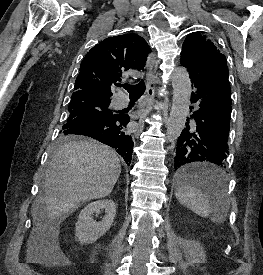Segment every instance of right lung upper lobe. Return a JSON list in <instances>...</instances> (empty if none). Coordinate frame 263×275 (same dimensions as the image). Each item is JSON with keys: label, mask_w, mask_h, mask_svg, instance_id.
Here are the masks:
<instances>
[{"label": "right lung upper lobe", "mask_w": 263, "mask_h": 275, "mask_svg": "<svg viewBox=\"0 0 263 275\" xmlns=\"http://www.w3.org/2000/svg\"><path fill=\"white\" fill-rule=\"evenodd\" d=\"M149 52V45L137 34L104 39L83 58L72 96L94 94L110 98L111 86L121 81L122 72L143 69Z\"/></svg>", "instance_id": "1"}]
</instances>
